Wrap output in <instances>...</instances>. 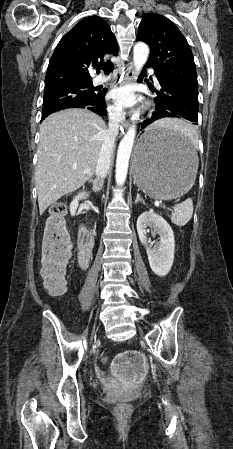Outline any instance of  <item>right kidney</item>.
Wrapping results in <instances>:
<instances>
[{
    "label": "right kidney",
    "instance_id": "right-kidney-1",
    "mask_svg": "<svg viewBox=\"0 0 233 449\" xmlns=\"http://www.w3.org/2000/svg\"><path fill=\"white\" fill-rule=\"evenodd\" d=\"M86 196H88V193L81 192L72 200V202L70 203V213L72 216L76 213L79 200L85 198Z\"/></svg>",
    "mask_w": 233,
    "mask_h": 449
}]
</instances>
